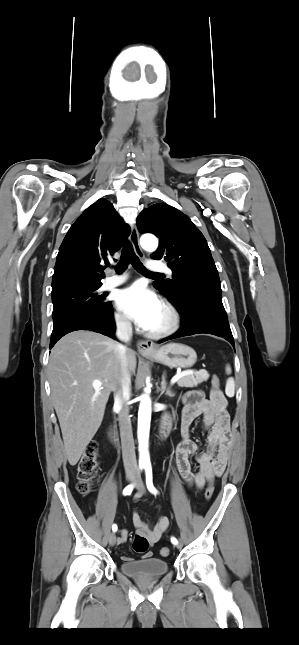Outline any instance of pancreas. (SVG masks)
<instances>
[{
    "label": "pancreas",
    "instance_id": "pancreas-1",
    "mask_svg": "<svg viewBox=\"0 0 299 645\" xmlns=\"http://www.w3.org/2000/svg\"><path fill=\"white\" fill-rule=\"evenodd\" d=\"M208 379V372L206 370H200L199 372L183 376L177 381V384L179 387L193 388L198 386V384L207 381Z\"/></svg>",
    "mask_w": 299,
    "mask_h": 645
}]
</instances>
